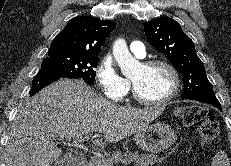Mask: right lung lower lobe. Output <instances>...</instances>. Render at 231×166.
Here are the masks:
<instances>
[{"mask_svg":"<svg viewBox=\"0 0 231 166\" xmlns=\"http://www.w3.org/2000/svg\"><path fill=\"white\" fill-rule=\"evenodd\" d=\"M60 78H74L81 80L80 78H76L72 75L63 74L54 70H39L38 74L33 80L32 88L30 90V96L36 94L42 88L51 84L52 82L57 81Z\"/></svg>","mask_w":231,"mask_h":166,"instance_id":"98d812e1","label":"right lung lower lobe"}]
</instances>
